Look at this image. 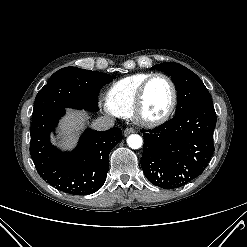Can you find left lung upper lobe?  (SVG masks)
Here are the masks:
<instances>
[{
	"mask_svg": "<svg viewBox=\"0 0 247 247\" xmlns=\"http://www.w3.org/2000/svg\"><path fill=\"white\" fill-rule=\"evenodd\" d=\"M153 68L168 73L175 83L178 97L175 115L195 107L213 105L203 82L188 68L174 62L157 64Z\"/></svg>",
	"mask_w": 247,
	"mask_h": 247,
	"instance_id": "left-lung-upper-lobe-1",
	"label": "left lung upper lobe"
}]
</instances>
